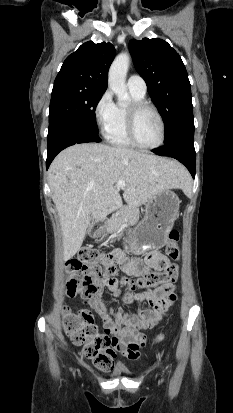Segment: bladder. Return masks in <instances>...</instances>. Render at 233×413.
<instances>
[{"label":"bladder","mask_w":233,"mask_h":413,"mask_svg":"<svg viewBox=\"0 0 233 413\" xmlns=\"http://www.w3.org/2000/svg\"><path fill=\"white\" fill-rule=\"evenodd\" d=\"M122 374H129V372L126 370H119L116 372V375H122Z\"/></svg>","instance_id":"1"}]
</instances>
